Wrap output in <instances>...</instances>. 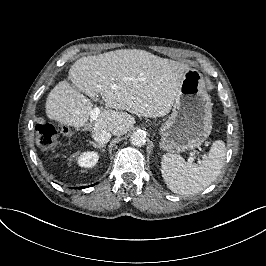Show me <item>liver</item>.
<instances>
[{"instance_id": "1", "label": "liver", "mask_w": 266, "mask_h": 266, "mask_svg": "<svg viewBox=\"0 0 266 266\" xmlns=\"http://www.w3.org/2000/svg\"><path fill=\"white\" fill-rule=\"evenodd\" d=\"M187 69L186 64L145 50L120 49L78 59L69 70V79L80 92L108 108L93 121V130L122 136L136 122L131 114L163 117L170 112ZM80 92L67 81L59 82L47 97V117L83 127L93 104Z\"/></svg>"}]
</instances>
